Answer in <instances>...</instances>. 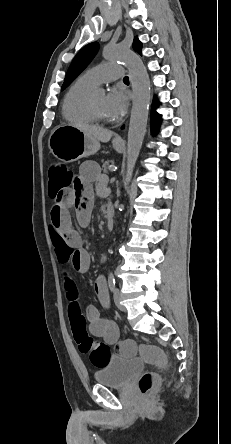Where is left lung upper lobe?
Segmentation results:
<instances>
[{"instance_id": "1", "label": "left lung upper lobe", "mask_w": 231, "mask_h": 444, "mask_svg": "<svg viewBox=\"0 0 231 444\" xmlns=\"http://www.w3.org/2000/svg\"><path fill=\"white\" fill-rule=\"evenodd\" d=\"M98 48L99 44L97 42H93L86 45L78 52L66 73L61 90H64L67 86H69L71 82L84 70V68L95 56ZM133 49L141 54L142 43L137 37L134 38Z\"/></svg>"}]
</instances>
